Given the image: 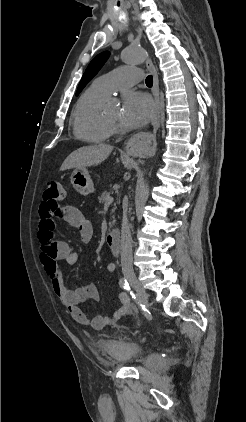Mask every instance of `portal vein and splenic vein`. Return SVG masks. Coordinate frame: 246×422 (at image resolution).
<instances>
[{
	"label": "portal vein and splenic vein",
	"instance_id": "18ae733b",
	"mask_svg": "<svg viewBox=\"0 0 246 422\" xmlns=\"http://www.w3.org/2000/svg\"><path fill=\"white\" fill-rule=\"evenodd\" d=\"M113 202V198L111 196H108L105 202V206H109Z\"/></svg>",
	"mask_w": 246,
	"mask_h": 422
}]
</instances>
